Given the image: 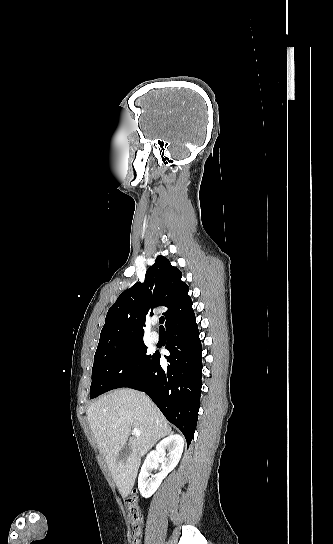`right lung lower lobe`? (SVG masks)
Masks as SVG:
<instances>
[{"instance_id": "98d812e1", "label": "right lung lower lobe", "mask_w": 333, "mask_h": 544, "mask_svg": "<svg viewBox=\"0 0 333 544\" xmlns=\"http://www.w3.org/2000/svg\"><path fill=\"white\" fill-rule=\"evenodd\" d=\"M170 363L160 366L153 354L141 378L128 388L147 393L164 416L184 434L187 444L194 436L201 396L202 346L194 312L166 327Z\"/></svg>"}]
</instances>
